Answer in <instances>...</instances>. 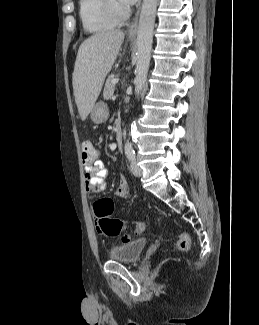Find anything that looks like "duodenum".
Segmentation results:
<instances>
[{"instance_id": "obj_1", "label": "duodenum", "mask_w": 259, "mask_h": 325, "mask_svg": "<svg viewBox=\"0 0 259 325\" xmlns=\"http://www.w3.org/2000/svg\"><path fill=\"white\" fill-rule=\"evenodd\" d=\"M115 132H116L117 146H118V148H122V146H123V132H122V127H121L119 120L116 123Z\"/></svg>"}]
</instances>
